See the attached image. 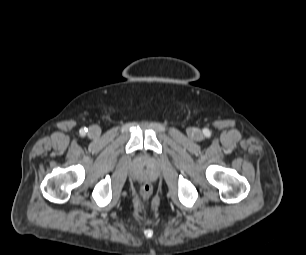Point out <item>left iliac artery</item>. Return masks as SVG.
I'll list each match as a JSON object with an SVG mask.
<instances>
[{"label":"left iliac artery","mask_w":306,"mask_h":255,"mask_svg":"<svg viewBox=\"0 0 306 255\" xmlns=\"http://www.w3.org/2000/svg\"><path fill=\"white\" fill-rule=\"evenodd\" d=\"M204 134H205L206 136H209L210 132H209L208 130H204Z\"/></svg>","instance_id":"obj_1"}]
</instances>
